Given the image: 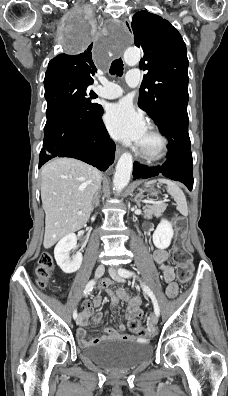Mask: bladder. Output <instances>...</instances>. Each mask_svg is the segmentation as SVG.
<instances>
[{"mask_svg":"<svg viewBox=\"0 0 228 396\" xmlns=\"http://www.w3.org/2000/svg\"><path fill=\"white\" fill-rule=\"evenodd\" d=\"M82 355L94 364L108 370H129L151 359L150 344L127 339H107L88 345Z\"/></svg>","mask_w":228,"mask_h":396,"instance_id":"bladder-1","label":"bladder"}]
</instances>
